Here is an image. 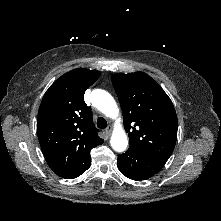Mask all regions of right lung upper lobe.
I'll list each match as a JSON object with an SVG mask.
<instances>
[{"label": "right lung upper lobe", "instance_id": "cb5924a9", "mask_svg": "<svg viewBox=\"0 0 221 221\" xmlns=\"http://www.w3.org/2000/svg\"><path fill=\"white\" fill-rule=\"evenodd\" d=\"M97 70L77 68L46 91L37 117V135L50 168L65 177L91 160L101 139L84 102L85 91L100 77Z\"/></svg>", "mask_w": 221, "mask_h": 221}]
</instances>
